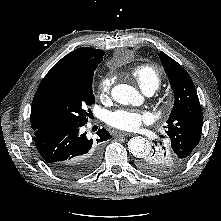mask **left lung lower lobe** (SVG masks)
Wrapping results in <instances>:
<instances>
[{
  "label": "left lung lower lobe",
  "instance_id": "obj_1",
  "mask_svg": "<svg viewBox=\"0 0 221 221\" xmlns=\"http://www.w3.org/2000/svg\"><path fill=\"white\" fill-rule=\"evenodd\" d=\"M160 142L155 141V146L146 155L137 161V167L151 175L167 176L180 170L185 161L181 160L165 137Z\"/></svg>",
  "mask_w": 221,
  "mask_h": 221
}]
</instances>
